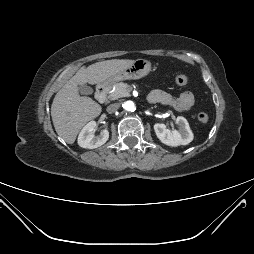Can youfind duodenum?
<instances>
[{
    "instance_id": "1",
    "label": "duodenum",
    "mask_w": 254,
    "mask_h": 254,
    "mask_svg": "<svg viewBox=\"0 0 254 254\" xmlns=\"http://www.w3.org/2000/svg\"><path fill=\"white\" fill-rule=\"evenodd\" d=\"M108 87L101 84L97 87L95 97L100 103H104L107 99Z\"/></svg>"
}]
</instances>
